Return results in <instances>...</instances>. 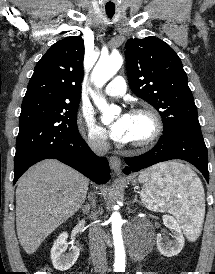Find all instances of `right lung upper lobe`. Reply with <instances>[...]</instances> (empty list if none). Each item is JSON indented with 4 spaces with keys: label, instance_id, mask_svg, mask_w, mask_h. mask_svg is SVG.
I'll list each match as a JSON object with an SVG mask.
<instances>
[{
    "label": "right lung upper lobe",
    "instance_id": "1",
    "mask_svg": "<svg viewBox=\"0 0 215 274\" xmlns=\"http://www.w3.org/2000/svg\"><path fill=\"white\" fill-rule=\"evenodd\" d=\"M83 56L84 42L79 36L52 45L37 63L22 104L36 100L79 102Z\"/></svg>",
    "mask_w": 215,
    "mask_h": 274
}]
</instances>
